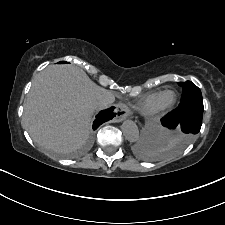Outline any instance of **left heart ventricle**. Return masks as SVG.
I'll list each match as a JSON object with an SVG mask.
<instances>
[{
    "label": "left heart ventricle",
    "mask_w": 225,
    "mask_h": 225,
    "mask_svg": "<svg viewBox=\"0 0 225 225\" xmlns=\"http://www.w3.org/2000/svg\"><path fill=\"white\" fill-rule=\"evenodd\" d=\"M171 97H172L171 95H167V96H166V100L171 99Z\"/></svg>",
    "instance_id": "obj_1"
}]
</instances>
